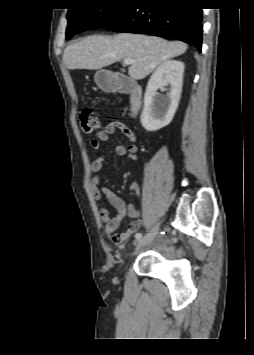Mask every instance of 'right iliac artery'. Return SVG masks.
<instances>
[{
    "instance_id": "1",
    "label": "right iliac artery",
    "mask_w": 254,
    "mask_h": 355,
    "mask_svg": "<svg viewBox=\"0 0 254 355\" xmlns=\"http://www.w3.org/2000/svg\"><path fill=\"white\" fill-rule=\"evenodd\" d=\"M135 238L137 240H140L142 238V234L141 233H136Z\"/></svg>"
}]
</instances>
